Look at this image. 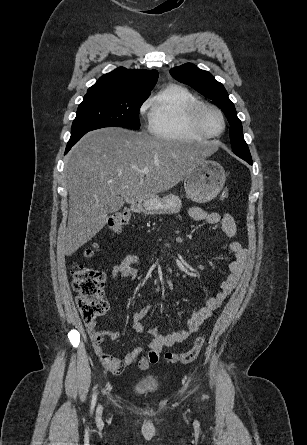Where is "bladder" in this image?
Here are the masks:
<instances>
[{
  "label": "bladder",
  "instance_id": "bladder-1",
  "mask_svg": "<svg viewBox=\"0 0 307 445\" xmlns=\"http://www.w3.org/2000/svg\"><path fill=\"white\" fill-rule=\"evenodd\" d=\"M159 381L151 376H145L137 380L133 385V390L137 394H149L159 389Z\"/></svg>",
  "mask_w": 307,
  "mask_h": 445
}]
</instances>
